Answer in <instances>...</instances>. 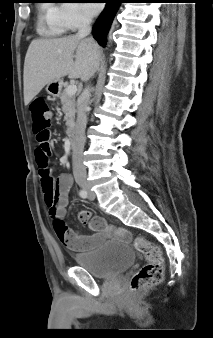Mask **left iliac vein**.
Masks as SVG:
<instances>
[{"mask_svg": "<svg viewBox=\"0 0 213 338\" xmlns=\"http://www.w3.org/2000/svg\"><path fill=\"white\" fill-rule=\"evenodd\" d=\"M86 189H87V191H88V199L94 200L95 197H96L95 193H94L93 191L90 190L89 186H86Z\"/></svg>", "mask_w": 213, "mask_h": 338, "instance_id": "obj_1", "label": "left iliac vein"}]
</instances>
